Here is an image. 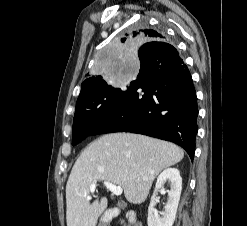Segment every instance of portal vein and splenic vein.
I'll return each mask as SVG.
<instances>
[{"label": "portal vein and splenic vein", "instance_id": "obj_1", "mask_svg": "<svg viewBox=\"0 0 247 226\" xmlns=\"http://www.w3.org/2000/svg\"><path fill=\"white\" fill-rule=\"evenodd\" d=\"M103 184H104V186H105L109 191H111V192H112L114 195H116V196L121 195L122 192H123V189H122L120 186H116V185H114V184H112V183H110V182H107V181H104ZM96 186H97V182H94V183L91 184V186H90V192H91V193H93V192L95 191ZM90 199H91V197L89 196V197H88V200H90Z\"/></svg>", "mask_w": 247, "mask_h": 226}]
</instances>
